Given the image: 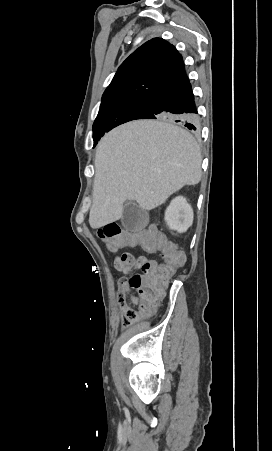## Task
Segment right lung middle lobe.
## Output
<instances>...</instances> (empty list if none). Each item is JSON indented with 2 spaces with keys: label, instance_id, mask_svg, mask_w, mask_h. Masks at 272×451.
<instances>
[{
  "label": "right lung middle lobe",
  "instance_id": "right-lung-middle-lobe-1",
  "mask_svg": "<svg viewBox=\"0 0 272 451\" xmlns=\"http://www.w3.org/2000/svg\"><path fill=\"white\" fill-rule=\"evenodd\" d=\"M150 97H133L102 103L93 124L94 146L108 131L136 119L148 107Z\"/></svg>",
  "mask_w": 272,
  "mask_h": 451
}]
</instances>
